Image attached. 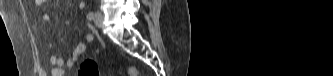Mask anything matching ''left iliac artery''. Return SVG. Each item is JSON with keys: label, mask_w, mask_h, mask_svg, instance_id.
Listing matches in <instances>:
<instances>
[{"label": "left iliac artery", "mask_w": 333, "mask_h": 76, "mask_svg": "<svg viewBox=\"0 0 333 76\" xmlns=\"http://www.w3.org/2000/svg\"><path fill=\"white\" fill-rule=\"evenodd\" d=\"M87 18H88L89 20L94 19V13H93V12H89V14L87 15Z\"/></svg>", "instance_id": "44dca946"}]
</instances>
